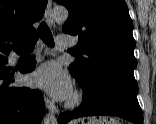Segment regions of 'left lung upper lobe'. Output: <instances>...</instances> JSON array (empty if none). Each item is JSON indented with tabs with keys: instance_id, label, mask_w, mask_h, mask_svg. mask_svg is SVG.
Listing matches in <instances>:
<instances>
[{
	"instance_id": "5c2ea615",
	"label": "left lung upper lobe",
	"mask_w": 156,
	"mask_h": 124,
	"mask_svg": "<svg viewBox=\"0 0 156 124\" xmlns=\"http://www.w3.org/2000/svg\"><path fill=\"white\" fill-rule=\"evenodd\" d=\"M69 11L63 31L79 36L69 71L82 88L100 77L118 75L136 82L133 23L124 0H56Z\"/></svg>"
}]
</instances>
